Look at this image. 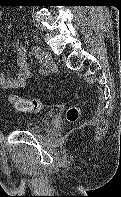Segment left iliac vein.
Returning <instances> with one entry per match:
<instances>
[{
    "label": "left iliac vein",
    "mask_w": 121,
    "mask_h": 197,
    "mask_svg": "<svg viewBox=\"0 0 121 197\" xmlns=\"http://www.w3.org/2000/svg\"><path fill=\"white\" fill-rule=\"evenodd\" d=\"M40 62L44 67H47L52 62V55L47 49H43L39 53Z\"/></svg>",
    "instance_id": "1"
}]
</instances>
